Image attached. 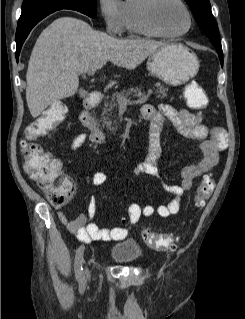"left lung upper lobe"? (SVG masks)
<instances>
[{"mask_svg": "<svg viewBox=\"0 0 245 319\" xmlns=\"http://www.w3.org/2000/svg\"><path fill=\"white\" fill-rule=\"evenodd\" d=\"M190 6L201 30L210 39L215 48H221L218 26L211 12L209 0H185Z\"/></svg>", "mask_w": 245, "mask_h": 319, "instance_id": "left-lung-upper-lobe-1", "label": "left lung upper lobe"}]
</instances>
